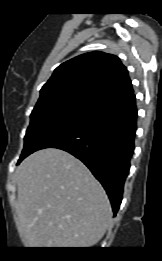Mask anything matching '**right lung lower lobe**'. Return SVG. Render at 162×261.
I'll use <instances>...</instances> for the list:
<instances>
[{"label":"right lung lower lobe","instance_id":"obj_1","mask_svg":"<svg viewBox=\"0 0 162 261\" xmlns=\"http://www.w3.org/2000/svg\"><path fill=\"white\" fill-rule=\"evenodd\" d=\"M136 121L137 108L132 92L104 102L60 126L33 152L58 148L80 159L103 185L116 215L134 153ZM28 155L20 157L18 164Z\"/></svg>","mask_w":162,"mask_h":261}]
</instances>
